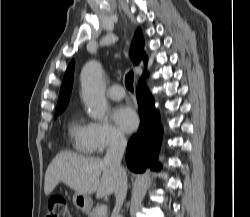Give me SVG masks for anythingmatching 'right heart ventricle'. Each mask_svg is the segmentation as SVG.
I'll return each instance as SVG.
<instances>
[{
    "label": "right heart ventricle",
    "mask_w": 250,
    "mask_h": 217,
    "mask_svg": "<svg viewBox=\"0 0 250 217\" xmlns=\"http://www.w3.org/2000/svg\"><path fill=\"white\" fill-rule=\"evenodd\" d=\"M87 124L78 116H73L68 124V134L74 149L81 153H88L89 147L86 139Z\"/></svg>",
    "instance_id": "obj_1"
}]
</instances>
